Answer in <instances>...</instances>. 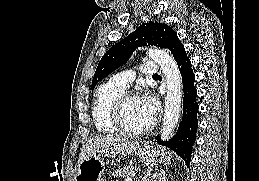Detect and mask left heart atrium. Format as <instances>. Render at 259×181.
Here are the masks:
<instances>
[{
	"label": "left heart atrium",
	"mask_w": 259,
	"mask_h": 181,
	"mask_svg": "<svg viewBox=\"0 0 259 181\" xmlns=\"http://www.w3.org/2000/svg\"><path fill=\"white\" fill-rule=\"evenodd\" d=\"M138 104L142 111L151 119H153L158 112V101L150 93L146 92L137 97Z\"/></svg>",
	"instance_id": "39dd6f15"
}]
</instances>
